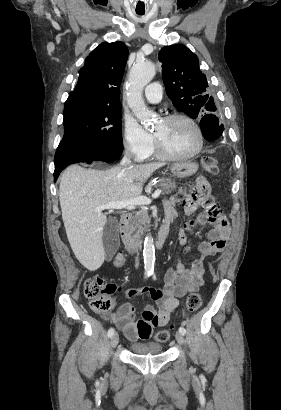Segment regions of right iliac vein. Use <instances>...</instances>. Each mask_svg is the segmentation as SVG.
Instances as JSON below:
<instances>
[{
    "label": "right iliac vein",
    "mask_w": 281,
    "mask_h": 410,
    "mask_svg": "<svg viewBox=\"0 0 281 410\" xmlns=\"http://www.w3.org/2000/svg\"><path fill=\"white\" fill-rule=\"evenodd\" d=\"M118 342H119V335L118 334H114L113 336H112V338H111V341H110V345H111V347H116L117 346V344H118Z\"/></svg>",
    "instance_id": "obj_1"
}]
</instances>
